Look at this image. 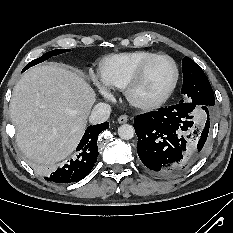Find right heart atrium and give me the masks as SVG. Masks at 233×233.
<instances>
[{
  "mask_svg": "<svg viewBox=\"0 0 233 233\" xmlns=\"http://www.w3.org/2000/svg\"><path fill=\"white\" fill-rule=\"evenodd\" d=\"M92 79L95 83V85L98 87V89L100 90L101 94L105 97V98H111L112 97V93L111 91L108 89V87L103 83L102 79L95 74H92Z\"/></svg>",
  "mask_w": 233,
  "mask_h": 233,
  "instance_id": "right-heart-atrium-1",
  "label": "right heart atrium"
}]
</instances>
